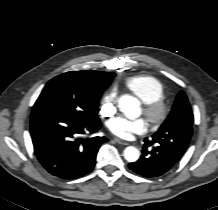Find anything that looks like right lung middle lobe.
I'll return each mask as SVG.
<instances>
[{
  "mask_svg": "<svg viewBox=\"0 0 218 210\" xmlns=\"http://www.w3.org/2000/svg\"><path fill=\"white\" fill-rule=\"evenodd\" d=\"M102 92L85 89L71 79L59 75L46 84L33 106V111L55 110L85 121L99 120L97 107Z\"/></svg>",
  "mask_w": 218,
  "mask_h": 210,
  "instance_id": "obj_1",
  "label": "right lung middle lobe"
}]
</instances>
